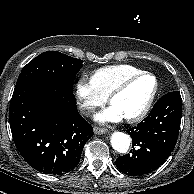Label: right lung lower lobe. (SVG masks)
Wrapping results in <instances>:
<instances>
[{
  "instance_id": "1",
  "label": "right lung lower lobe",
  "mask_w": 194,
  "mask_h": 194,
  "mask_svg": "<svg viewBox=\"0 0 194 194\" xmlns=\"http://www.w3.org/2000/svg\"><path fill=\"white\" fill-rule=\"evenodd\" d=\"M9 119L18 151L45 174L70 172L93 136L92 126L77 111L73 93L44 84L15 86Z\"/></svg>"
}]
</instances>
